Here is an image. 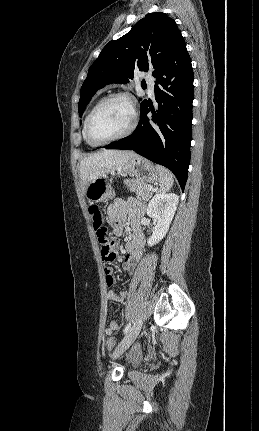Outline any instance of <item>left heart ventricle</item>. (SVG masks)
Returning a JSON list of instances; mask_svg holds the SVG:
<instances>
[{"mask_svg": "<svg viewBox=\"0 0 259 431\" xmlns=\"http://www.w3.org/2000/svg\"><path fill=\"white\" fill-rule=\"evenodd\" d=\"M131 121L129 104L123 99H113L96 113L92 123V134L98 140H105L124 132Z\"/></svg>", "mask_w": 259, "mask_h": 431, "instance_id": "left-heart-ventricle-1", "label": "left heart ventricle"}]
</instances>
